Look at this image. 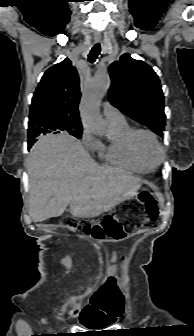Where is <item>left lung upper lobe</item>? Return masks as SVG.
<instances>
[{"label": "left lung upper lobe", "mask_w": 194, "mask_h": 336, "mask_svg": "<svg viewBox=\"0 0 194 336\" xmlns=\"http://www.w3.org/2000/svg\"><path fill=\"white\" fill-rule=\"evenodd\" d=\"M110 102L130 118L162 136L165 129L164 96L157 74L141 60L124 54L109 67Z\"/></svg>", "instance_id": "left-lung-upper-lobe-1"}]
</instances>
